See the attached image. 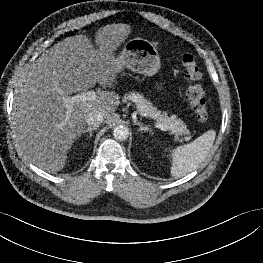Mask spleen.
I'll list each match as a JSON object with an SVG mask.
<instances>
[{
	"label": "spleen",
	"mask_w": 263,
	"mask_h": 263,
	"mask_svg": "<svg viewBox=\"0 0 263 263\" xmlns=\"http://www.w3.org/2000/svg\"><path fill=\"white\" fill-rule=\"evenodd\" d=\"M215 137L216 132L208 130L193 142L171 150V175L181 178L199 167L210 153Z\"/></svg>",
	"instance_id": "spleen-1"
}]
</instances>
